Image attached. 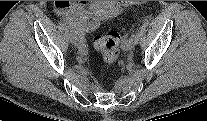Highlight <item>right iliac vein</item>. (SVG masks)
Listing matches in <instances>:
<instances>
[{"mask_svg": "<svg viewBox=\"0 0 207 121\" xmlns=\"http://www.w3.org/2000/svg\"><path fill=\"white\" fill-rule=\"evenodd\" d=\"M70 42L74 45L79 46L78 37L71 31L70 32ZM81 53H86V49L79 48Z\"/></svg>", "mask_w": 207, "mask_h": 121, "instance_id": "obj_1", "label": "right iliac vein"}]
</instances>
